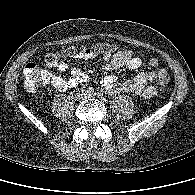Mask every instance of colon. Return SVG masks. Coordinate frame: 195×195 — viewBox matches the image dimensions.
I'll return each mask as SVG.
<instances>
[{"label": "colon", "instance_id": "1", "mask_svg": "<svg viewBox=\"0 0 195 195\" xmlns=\"http://www.w3.org/2000/svg\"><path fill=\"white\" fill-rule=\"evenodd\" d=\"M115 50V47L109 43H95L90 47H85L82 49L76 47L67 48L59 53H51L45 57V63L48 66H54L59 62L61 58L76 56L81 52H96V53H107ZM24 74V84L28 91H35L40 86L46 84L50 78V73L41 68L36 62L28 63L23 71ZM171 77L166 72L162 74L158 79V85L163 87L170 83Z\"/></svg>", "mask_w": 195, "mask_h": 195}]
</instances>
